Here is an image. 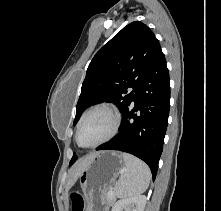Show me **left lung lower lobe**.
<instances>
[{
    "mask_svg": "<svg viewBox=\"0 0 221 211\" xmlns=\"http://www.w3.org/2000/svg\"><path fill=\"white\" fill-rule=\"evenodd\" d=\"M169 103V73L160 51L123 114L119 134L96 150H119L142 159L150 167L154 180L163 150Z\"/></svg>",
    "mask_w": 221,
    "mask_h": 211,
    "instance_id": "0a47b994",
    "label": "left lung lower lobe"
}]
</instances>
